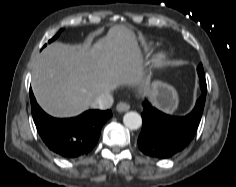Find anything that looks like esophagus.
<instances>
[{
    "mask_svg": "<svg viewBox=\"0 0 236 187\" xmlns=\"http://www.w3.org/2000/svg\"><path fill=\"white\" fill-rule=\"evenodd\" d=\"M129 109H130V105L125 102H120L116 106V110L118 112H125V111H128Z\"/></svg>",
    "mask_w": 236,
    "mask_h": 187,
    "instance_id": "obj_1",
    "label": "esophagus"
}]
</instances>
